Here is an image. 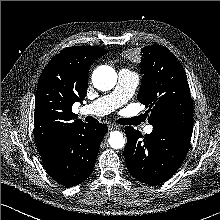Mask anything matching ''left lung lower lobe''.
I'll return each mask as SVG.
<instances>
[{
  "instance_id": "left-lung-lower-lobe-1",
  "label": "left lung lower lobe",
  "mask_w": 220,
  "mask_h": 220,
  "mask_svg": "<svg viewBox=\"0 0 220 220\" xmlns=\"http://www.w3.org/2000/svg\"><path fill=\"white\" fill-rule=\"evenodd\" d=\"M125 132L124 156L129 172L140 182L153 185L175 174L185 159L192 135L169 128H153L150 134L142 136L128 126Z\"/></svg>"
}]
</instances>
